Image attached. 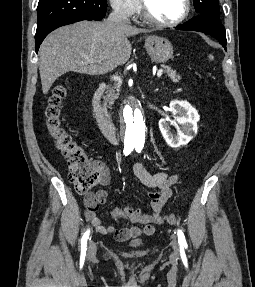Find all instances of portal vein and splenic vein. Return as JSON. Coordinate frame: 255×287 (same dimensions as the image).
I'll use <instances>...</instances> for the list:
<instances>
[{
  "label": "portal vein and splenic vein",
  "instance_id": "1",
  "mask_svg": "<svg viewBox=\"0 0 255 287\" xmlns=\"http://www.w3.org/2000/svg\"><path fill=\"white\" fill-rule=\"evenodd\" d=\"M92 62H99V64H101V60H94V58H85L84 64H92ZM162 74L163 70H158L157 72L158 78H160ZM113 80H115V82H121V78H118V76H113Z\"/></svg>",
  "mask_w": 255,
  "mask_h": 287
}]
</instances>
